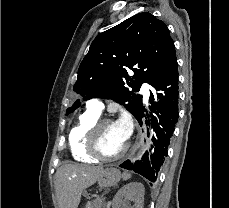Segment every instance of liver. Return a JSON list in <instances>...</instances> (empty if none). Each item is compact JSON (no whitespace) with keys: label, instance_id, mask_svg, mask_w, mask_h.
I'll use <instances>...</instances> for the list:
<instances>
[{"label":"liver","instance_id":"liver-1","mask_svg":"<svg viewBox=\"0 0 229 208\" xmlns=\"http://www.w3.org/2000/svg\"><path fill=\"white\" fill-rule=\"evenodd\" d=\"M103 166L64 164L56 172V198L59 208H78L83 190L97 182Z\"/></svg>","mask_w":229,"mask_h":208}]
</instances>
